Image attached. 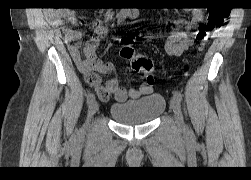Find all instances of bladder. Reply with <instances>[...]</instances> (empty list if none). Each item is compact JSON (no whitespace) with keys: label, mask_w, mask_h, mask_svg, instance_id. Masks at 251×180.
I'll list each match as a JSON object with an SVG mask.
<instances>
[{"label":"bladder","mask_w":251,"mask_h":180,"mask_svg":"<svg viewBox=\"0 0 251 180\" xmlns=\"http://www.w3.org/2000/svg\"><path fill=\"white\" fill-rule=\"evenodd\" d=\"M166 108L165 97L154 93L139 100L114 103L110 107V116L119 124L138 126L153 122Z\"/></svg>","instance_id":"1"}]
</instances>
